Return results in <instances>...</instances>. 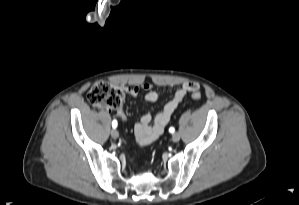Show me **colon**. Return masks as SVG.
Segmentation results:
<instances>
[{"mask_svg": "<svg viewBox=\"0 0 299 205\" xmlns=\"http://www.w3.org/2000/svg\"><path fill=\"white\" fill-rule=\"evenodd\" d=\"M125 91L119 86L112 85L106 81H97L88 93V100L93 106L104 107L109 110L117 109L122 105ZM191 97L199 101L201 94L196 90Z\"/></svg>", "mask_w": 299, "mask_h": 205, "instance_id": "5ec220e1", "label": "colon"}]
</instances>
